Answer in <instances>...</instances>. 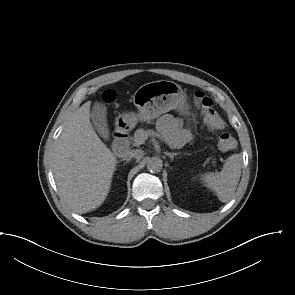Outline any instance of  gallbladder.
Here are the masks:
<instances>
[{
	"label": "gallbladder",
	"mask_w": 295,
	"mask_h": 295,
	"mask_svg": "<svg viewBox=\"0 0 295 295\" xmlns=\"http://www.w3.org/2000/svg\"><path fill=\"white\" fill-rule=\"evenodd\" d=\"M90 119L97 130V132L106 138L109 134L107 118H106V109L103 104L96 102L91 110Z\"/></svg>",
	"instance_id": "obj_1"
}]
</instances>
